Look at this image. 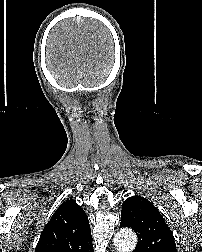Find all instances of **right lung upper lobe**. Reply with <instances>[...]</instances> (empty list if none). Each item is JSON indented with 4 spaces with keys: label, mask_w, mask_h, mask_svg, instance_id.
<instances>
[{
    "label": "right lung upper lobe",
    "mask_w": 202,
    "mask_h": 252,
    "mask_svg": "<svg viewBox=\"0 0 202 252\" xmlns=\"http://www.w3.org/2000/svg\"><path fill=\"white\" fill-rule=\"evenodd\" d=\"M92 241L86 213L70 198L44 227L35 252H93Z\"/></svg>",
    "instance_id": "cb5924a9"
}]
</instances>
